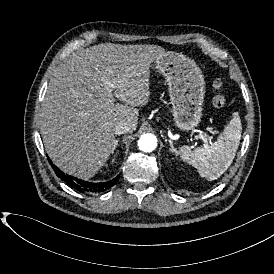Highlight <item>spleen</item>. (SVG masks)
<instances>
[{
  "mask_svg": "<svg viewBox=\"0 0 274 274\" xmlns=\"http://www.w3.org/2000/svg\"><path fill=\"white\" fill-rule=\"evenodd\" d=\"M241 132L240 117L238 113H234L233 119L215 143L197 147L193 151L188 146H182L181 157L196 167L201 177L210 181L215 180L231 165L240 144Z\"/></svg>",
  "mask_w": 274,
  "mask_h": 274,
  "instance_id": "1",
  "label": "spleen"
}]
</instances>
